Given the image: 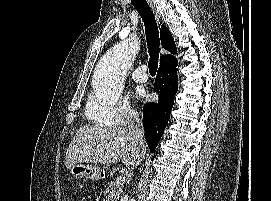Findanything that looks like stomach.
Wrapping results in <instances>:
<instances>
[{
  "label": "stomach",
  "mask_w": 271,
  "mask_h": 201,
  "mask_svg": "<svg viewBox=\"0 0 271 201\" xmlns=\"http://www.w3.org/2000/svg\"><path fill=\"white\" fill-rule=\"evenodd\" d=\"M70 174L74 179L98 181L103 178L104 170L91 164L78 163L70 168Z\"/></svg>",
  "instance_id": "1"
}]
</instances>
